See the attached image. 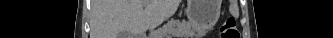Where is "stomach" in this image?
I'll list each match as a JSON object with an SVG mask.
<instances>
[{"label": "stomach", "mask_w": 333, "mask_h": 38, "mask_svg": "<svg viewBox=\"0 0 333 38\" xmlns=\"http://www.w3.org/2000/svg\"><path fill=\"white\" fill-rule=\"evenodd\" d=\"M188 23L195 27L198 24L199 19L201 18L200 15L196 11V1L195 0H188Z\"/></svg>", "instance_id": "stomach-1"}]
</instances>
